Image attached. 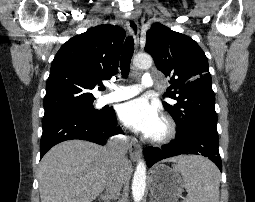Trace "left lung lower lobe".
<instances>
[{
    "label": "left lung lower lobe",
    "instance_id": "left-lung-lower-lobe-1",
    "mask_svg": "<svg viewBox=\"0 0 255 202\" xmlns=\"http://www.w3.org/2000/svg\"><path fill=\"white\" fill-rule=\"evenodd\" d=\"M218 133L208 130H198L184 135L176 134L175 140L162 147H148L145 149V158L148 167L154 163L172 156L181 154H197L208 157L222 171L219 155Z\"/></svg>",
    "mask_w": 255,
    "mask_h": 202
}]
</instances>
